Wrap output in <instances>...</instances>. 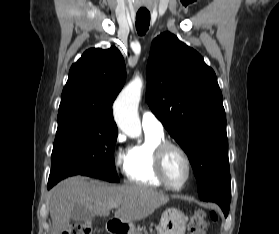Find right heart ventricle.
I'll return each mask as SVG.
<instances>
[{"label": "right heart ventricle", "mask_w": 279, "mask_h": 234, "mask_svg": "<svg viewBox=\"0 0 279 234\" xmlns=\"http://www.w3.org/2000/svg\"><path fill=\"white\" fill-rule=\"evenodd\" d=\"M164 141L162 134L145 131L144 142L129 147L123 154L121 163L128 181L147 187H160L154 168L156 146Z\"/></svg>", "instance_id": "right-heart-ventricle-1"}]
</instances>
